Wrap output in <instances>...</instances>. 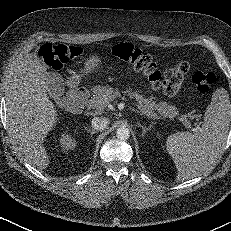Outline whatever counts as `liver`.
Returning a JSON list of instances; mask_svg holds the SVG:
<instances>
[{"instance_id": "6515ba94", "label": "liver", "mask_w": 231, "mask_h": 231, "mask_svg": "<svg viewBox=\"0 0 231 231\" xmlns=\"http://www.w3.org/2000/svg\"><path fill=\"white\" fill-rule=\"evenodd\" d=\"M35 51L16 67L6 91L9 133L21 153L39 169L49 165L43 146L48 131L58 123V114L47 95L49 82Z\"/></svg>"}]
</instances>
